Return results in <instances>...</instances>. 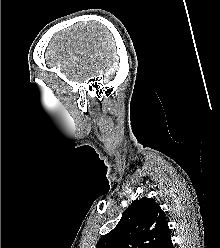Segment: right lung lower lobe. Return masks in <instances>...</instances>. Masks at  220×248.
<instances>
[{"label":"right lung lower lobe","instance_id":"obj_1","mask_svg":"<svg viewBox=\"0 0 220 248\" xmlns=\"http://www.w3.org/2000/svg\"><path fill=\"white\" fill-rule=\"evenodd\" d=\"M160 248H173L170 236L165 240V242L160 246Z\"/></svg>","mask_w":220,"mask_h":248}]
</instances>
